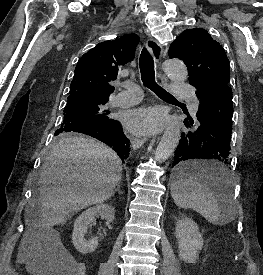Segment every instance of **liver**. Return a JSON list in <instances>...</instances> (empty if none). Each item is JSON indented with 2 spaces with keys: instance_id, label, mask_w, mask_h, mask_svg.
Masks as SVG:
<instances>
[{
  "instance_id": "1",
  "label": "liver",
  "mask_w": 263,
  "mask_h": 275,
  "mask_svg": "<svg viewBox=\"0 0 263 275\" xmlns=\"http://www.w3.org/2000/svg\"><path fill=\"white\" fill-rule=\"evenodd\" d=\"M121 172V161L111 148L91 138L68 136L46 158L39 199L28 205L27 213L37 207L43 226L63 224L81 209L108 200Z\"/></svg>"
}]
</instances>
